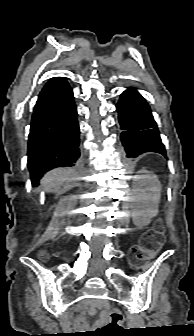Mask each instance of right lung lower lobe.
<instances>
[{"mask_svg": "<svg viewBox=\"0 0 194 336\" xmlns=\"http://www.w3.org/2000/svg\"><path fill=\"white\" fill-rule=\"evenodd\" d=\"M27 155L33 186L51 168L73 166L80 157L74 96L64 78L51 79L39 94Z\"/></svg>", "mask_w": 194, "mask_h": 336, "instance_id": "right-lung-lower-lobe-1", "label": "right lung lower lobe"}]
</instances>
